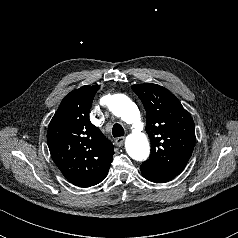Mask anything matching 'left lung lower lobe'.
<instances>
[{
  "instance_id": "1",
  "label": "left lung lower lobe",
  "mask_w": 238,
  "mask_h": 238,
  "mask_svg": "<svg viewBox=\"0 0 238 238\" xmlns=\"http://www.w3.org/2000/svg\"><path fill=\"white\" fill-rule=\"evenodd\" d=\"M140 170L143 174V176L155 183H165L176 177L179 173L172 172V171H166V170H161L158 168H155L151 165H148L146 163H143L140 166Z\"/></svg>"
}]
</instances>
